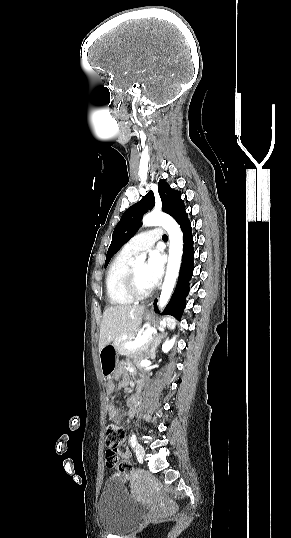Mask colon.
Returning a JSON list of instances; mask_svg holds the SVG:
<instances>
[{
  "label": "colon",
  "instance_id": "5ec220e1",
  "mask_svg": "<svg viewBox=\"0 0 291 538\" xmlns=\"http://www.w3.org/2000/svg\"><path fill=\"white\" fill-rule=\"evenodd\" d=\"M123 439L124 430L120 422L111 417L106 427L107 465L110 468H115L123 481H128L132 474V466L129 462L120 460L117 454V447Z\"/></svg>",
  "mask_w": 291,
  "mask_h": 538
}]
</instances>
